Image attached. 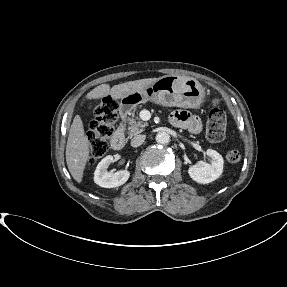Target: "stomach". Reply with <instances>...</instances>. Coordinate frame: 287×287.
Instances as JSON below:
<instances>
[{
  "label": "stomach",
  "mask_w": 287,
  "mask_h": 287,
  "mask_svg": "<svg viewBox=\"0 0 287 287\" xmlns=\"http://www.w3.org/2000/svg\"><path fill=\"white\" fill-rule=\"evenodd\" d=\"M205 91L195 79L178 75H165L142 91L123 96L119 103L121 115L130 114L139 104L148 101L163 106L199 108L204 101Z\"/></svg>",
  "instance_id": "stomach-1"
}]
</instances>
